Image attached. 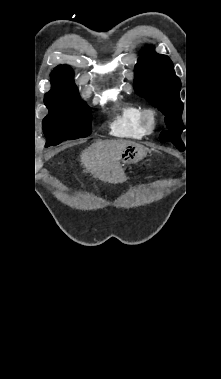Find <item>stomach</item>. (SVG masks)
<instances>
[{"mask_svg":"<svg viewBox=\"0 0 221 379\" xmlns=\"http://www.w3.org/2000/svg\"><path fill=\"white\" fill-rule=\"evenodd\" d=\"M147 155V150L138 145V144H131L128 145L121 154V162L122 165H131L139 162Z\"/></svg>","mask_w":221,"mask_h":379,"instance_id":"0dacf381","label":"stomach"}]
</instances>
